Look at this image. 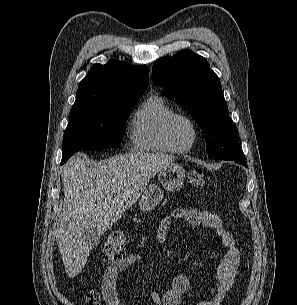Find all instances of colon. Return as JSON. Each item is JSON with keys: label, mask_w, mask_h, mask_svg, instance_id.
Listing matches in <instances>:
<instances>
[{"label": "colon", "mask_w": 297, "mask_h": 305, "mask_svg": "<svg viewBox=\"0 0 297 305\" xmlns=\"http://www.w3.org/2000/svg\"><path fill=\"white\" fill-rule=\"evenodd\" d=\"M189 181L194 186L205 183V174L201 169H193L189 174ZM127 246L126 233L122 229L111 231L103 247V258L106 263L121 261L125 257Z\"/></svg>", "instance_id": "colon-1"}]
</instances>
